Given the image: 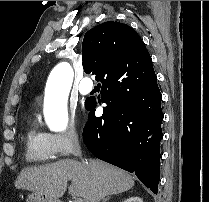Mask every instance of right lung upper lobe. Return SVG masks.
Wrapping results in <instances>:
<instances>
[{
    "label": "right lung upper lobe",
    "mask_w": 209,
    "mask_h": 202,
    "mask_svg": "<svg viewBox=\"0 0 209 202\" xmlns=\"http://www.w3.org/2000/svg\"><path fill=\"white\" fill-rule=\"evenodd\" d=\"M83 69L97 76L102 86L119 87L147 74L151 57L142 39L130 26L104 22L85 33Z\"/></svg>",
    "instance_id": "right-lung-upper-lobe-1"
}]
</instances>
